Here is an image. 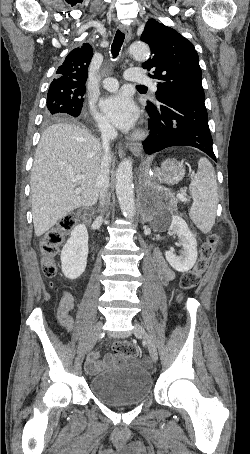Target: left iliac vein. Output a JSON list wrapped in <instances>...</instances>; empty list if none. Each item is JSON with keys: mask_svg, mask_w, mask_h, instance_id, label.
Segmentation results:
<instances>
[{"mask_svg": "<svg viewBox=\"0 0 250 454\" xmlns=\"http://www.w3.org/2000/svg\"><path fill=\"white\" fill-rule=\"evenodd\" d=\"M133 333L136 337L141 338L146 343L152 361L156 363L158 360L157 349L146 330L139 323L134 322Z\"/></svg>", "mask_w": 250, "mask_h": 454, "instance_id": "left-iliac-vein-1", "label": "left iliac vein"}]
</instances>
